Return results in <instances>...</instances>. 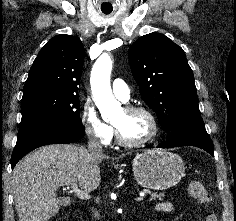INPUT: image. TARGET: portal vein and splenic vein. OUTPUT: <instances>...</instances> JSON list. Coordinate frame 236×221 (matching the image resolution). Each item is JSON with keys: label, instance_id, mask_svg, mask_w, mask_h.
I'll list each match as a JSON object with an SVG mask.
<instances>
[{"label": "portal vein and splenic vein", "instance_id": "obj_1", "mask_svg": "<svg viewBox=\"0 0 236 221\" xmlns=\"http://www.w3.org/2000/svg\"><path fill=\"white\" fill-rule=\"evenodd\" d=\"M71 189L75 195L82 200H88L90 198V195L87 192L80 190L76 183L71 184ZM135 200L138 202L143 201V197H137Z\"/></svg>", "mask_w": 236, "mask_h": 221}]
</instances>
